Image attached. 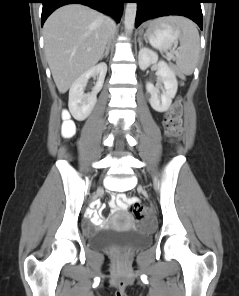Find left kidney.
<instances>
[{"mask_svg": "<svg viewBox=\"0 0 239 296\" xmlns=\"http://www.w3.org/2000/svg\"><path fill=\"white\" fill-rule=\"evenodd\" d=\"M139 67L141 70L147 69L151 64L157 63V76L164 89L160 94V85L154 86L151 82H146V91L150 94V105L157 112H165L169 109L172 99L178 89V82L174 71L164 61H158V54L153 50L143 47L138 55Z\"/></svg>", "mask_w": 239, "mask_h": 296, "instance_id": "obj_1", "label": "left kidney"}]
</instances>
